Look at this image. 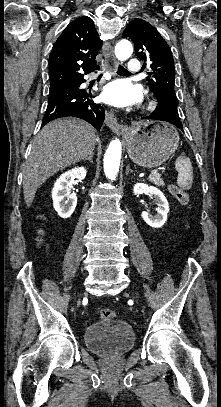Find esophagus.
Masks as SVG:
<instances>
[{"label": "esophagus", "mask_w": 221, "mask_h": 407, "mask_svg": "<svg viewBox=\"0 0 221 407\" xmlns=\"http://www.w3.org/2000/svg\"><path fill=\"white\" fill-rule=\"evenodd\" d=\"M103 53L105 56V66L108 70H111L116 66V60L114 56L113 47L109 42L103 45ZM105 124L115 133L127 132L129 128L127 126L121 125L117 118L114 116L113 112H105Z\"/></svg>", "instance_id": "34e87169"}]
</instances>
